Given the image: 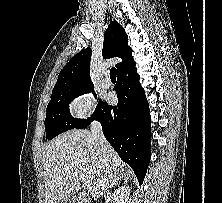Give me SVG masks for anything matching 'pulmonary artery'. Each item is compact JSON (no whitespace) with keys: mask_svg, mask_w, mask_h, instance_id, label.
<instances>
[{"mask_svg":"<svg viewBox=\"0 0 222 203\" xmlns=\"http://www.w3.org/2000/svg\"><path fill=\"white\" fill-rule=\"evenodd\" d=\"M102 86L105 87V88H108L111 86V80L109 78V74L106 73L105 74V77L102 79Z\"/></svg>","mask_w":222,"mask_h":203,"instance_id":"1","label":"pulmonary artery"}]
</instances>
